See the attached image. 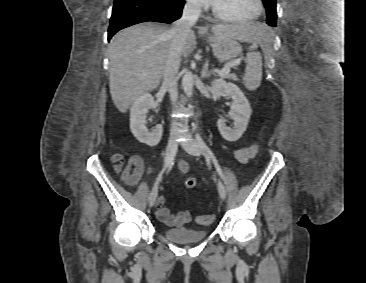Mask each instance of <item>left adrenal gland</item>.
<instances>
[{"label":"left adrenal gland","mask_w":366,"mask_h":283,"mask_svg":"<svg viewBox=\"0 0 366 283\" xmlns=\"http://www.w3.org/2000/svg\"><path fill=\"white\" fill-rule=\"evenodd\" d=\"M202 77H204L205 79H208L211 75H216L214 71L212 70H208V62L205 63V65L203 66V69H202Z\"/></svg>","instance_id":"left-adrenal-gland-1"}]
</instances>
